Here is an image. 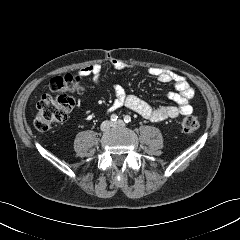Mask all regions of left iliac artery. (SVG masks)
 Instances as JSON below:
<instances>
[{"mask_svg": "<svg viewBox=\"0 0 240 240\" xmlns=\"http://www.w3.org/2000/svg\"><path fill=\"white\" fill-rule=\"evenodd\" d=\"M124 122H125V123H130V122H131V117H130L129 115H126V116L124 117Z\"/></svg>", "mask_w": 240, "mask_h": 240, "instance_id": "left-iliac-artery-1", "label": "left iliac artery"}]
</instances>
